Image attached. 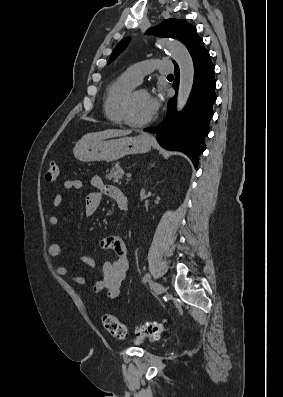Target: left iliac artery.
I'll return each instance as SVG.
<instances>
[{"instance_id":"left-iliac-artery-1","label":"left iliac artery","mask_w":283,"mask_h":397,"mask_svg":"<svg viewBox=\"0 0 283 397\" xmlns=\"http://www.w3.org/2000/svg\"><path fill=\"white\" fill-rule=\"evenodd\" d=\"M150 280H151V275H150L149 273H147V274L144 276L143 281H144V282H147V281H150Z\"/></svg>"}]
</instances>
